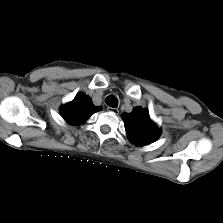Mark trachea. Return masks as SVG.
I'll list each match as a JSON object with an SVG mask.
<instances>
[{
    "label": "trachea",
    "mask_w": 223,
    "mask_h": 223,
    "mask_svg": "<svg viewBox=\"0 0 223 223\" xmlns=\"http://www.w3.org/2000/svg\"><path fill=\"white\" fill-rule=\"evenodd\" d=\"M105 102L108 106L113 108H117L118 106V99L113 95H109L108 97H106Z\"/></svg>",
    "instance_id": "obj_1"
}]
</instances>
